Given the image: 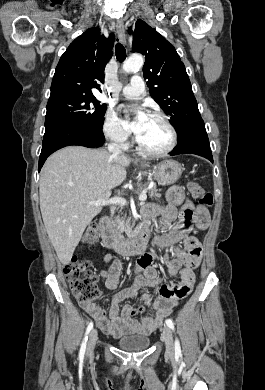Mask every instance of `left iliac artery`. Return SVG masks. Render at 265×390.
<instances>
[{
  "instance_id": "1",
  "label": "left iliac artery",
  "mask_w": 265,
  "mask_h": 390,
  "mask_svg": "<svg viewBox=\"0 0 265 390\" xmlns=\"http://www.w3.org/2000/svg\"><path fill=\"white\" fill-rule=\"evenodd\" d=\"M165 323H166V325H167L170 329L174 330V323L172 322L171 319H167V320L165 321ZM175 354H176V355H181V347H180V343H179L178 339L175 340Z\"/></svg>"
}]
</instances>
